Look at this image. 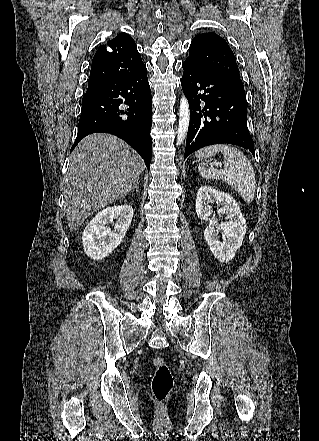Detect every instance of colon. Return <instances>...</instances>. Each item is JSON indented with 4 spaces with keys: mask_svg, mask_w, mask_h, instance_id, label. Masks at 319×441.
<instances>
[{
    "mask_svg": "<svg viewBox=\"0 0 319 441\" xmlns=\"http://www.w3.org/2000/svg\"><path fill=\"white\" fill-rule=\"evenodd\" d=\"M152 363L155 366L151 384L152 393L157 401L163 402L172 390L173 376L169 366L162 357H154Z\"/></svg>",
    "mask_w": 319,
    "mask_h": 441,
    "instance_id": "1",
    "label": "colon"
}]
</instances>
